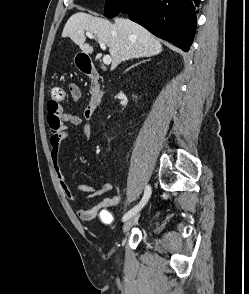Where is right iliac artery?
Instances as JSON below:
<instances>
[{"label": "right iliac artery", "instance_id": "1", "mask_svg": "<svg viewBox=\"0 0 249 294\" xmlns=\"http://www.w3.org/2000/svg\"><path fill=\"white\" fill-rule=\"evenodd\" d=\"M150 195H151V188H150V186H146L145 192H144V196H143L142 200L140 201L139 204H137L135 207H133L132 209H130L123 216V221H126L127 219H129L130 217H132L133 215H135L138 211H140L145 206V204L147 203V201L149 200Z\"/></svg>", "mask_w": 249, "mask_h": 294}]
</instances>
